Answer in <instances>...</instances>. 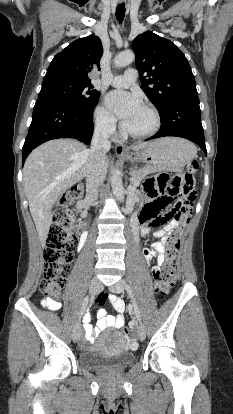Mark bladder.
I'll return each mask as SVG.
<instances>
[{
	"mask_svg": "<svg viewBox=\"0 0 233 414\" xmlns=\"http://www.w3.org/2000/svg\"><path fill=\"white\" fill-rule=\"evenodd\" d=\"M134 360L135 355L127 350L126 339L119 330L103 333L90 351L79 355L80 363L92 369L126 367Z\"/></svg>",
	"mask_w": 233,
	"mask_h": 414,
	"instance_id": "1",
	"label": "bladder"
}]
</instances>
